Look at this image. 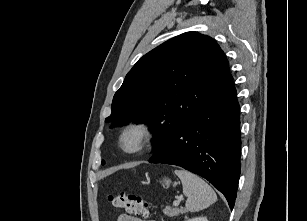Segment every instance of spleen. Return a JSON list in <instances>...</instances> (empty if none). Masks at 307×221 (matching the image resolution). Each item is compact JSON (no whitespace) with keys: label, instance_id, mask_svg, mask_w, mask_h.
<instances>
[{"label":"spleen","instance_id":"spleen-1","mask_svg":"<svg viewBox=\"0 0 307 221\" xmlns=\"http://www.w3.org/2000/svg\"><path fill=\"white\" fill-rule=\"evenodd\" d=\"M175 174L181 179L188 211L197 212L216 202V193L202 178L186 170H175Z\"/></svg>","mask_w":307,"mask_h":221}]
</instances>
